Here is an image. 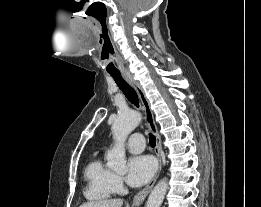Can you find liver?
<instances>
[{"label": "liver", "mask_w": 261, "mask_h": 207, "mask_svg": "<svg viewBox=\"0 0 261 207\" xmlns=\"http://www.w3.org/2000/svg\"><path fill=\"white\" fill-rule=\"evenodd\" d=\"M122 205V199H105L86 202L80 205V207H122Z\"/></svg>", "instance_id": "6515ba94"}]
</instances>
